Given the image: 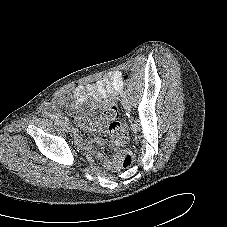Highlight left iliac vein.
<instances>
[{"instance_id":"1","label":"left iliac vein","mask_w":227,"mask_h":227,"mask_svg":"<svg viewBox=\"0 0 227 227\" xmlns=\"http://www.w3.org/2000/svg\"><path fill=\"white\" fill-rule=\"evenodd\" d=\"M122 105L124 107V109L126 111H130L131 110V105H130V102L128 100H123L122 101Z\"/></svg>"}]
</instances>
